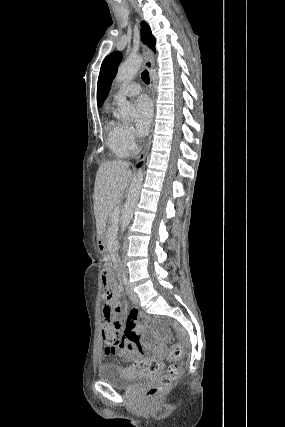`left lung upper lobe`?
Segmentation results:
<instances>
[{"mask_svg": "<svg viewBox=\"0 0 285 427\" xmlns=\"http://www.w3.org/2000/svg\"><path fill=\"white\" fill-rule=\"evenodd\" d=\"M141 37L145 44L149 46L154 52L155 51V38L151 34L149 26L143 21L141 23ZM122 60V54L120 52H113L108 55L102 62L100 74L97 84V104L101 106L109 94L111 84L119 63Z\"/></svg>", "mask_w": 285, "mask_h": 427, "instance_id": "obj_1", "label": "left lung upper lobe"}]
</instances>
